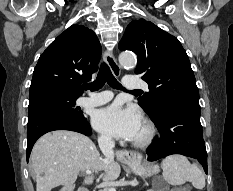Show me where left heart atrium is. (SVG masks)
<instances>
[{
  "label": "left heart atrium",
  "mask_w": 233,
  "mask_h": 191,
  "mask_svg": "<svg viewBox=\"0 0 233 191\" xmlns=\"http://www.w3.org/2000/svg\"><path fill=\"white\" fill-rule=\"evenodd\" d=\"M92 123L96 130L114 138L134 140L143 122L139 111L113 103L97 110Z\"/></svg>",
  "instance_id": "39dd6f15"
}]
</instances>
